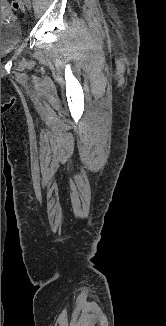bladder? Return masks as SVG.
Returning <instances> with one entry per match:
<instances>
[{"label": "bladder", "mask_w": 166, "mask_h": 326, "mask_svg": "<svg viewBox=\"0 0 166 326\" xmlns=\"http://www.w3.org/2000/svg\"><path fill=\"white\" fill-rule=\"evenodd\" d=\"M1 0V13L9 10V6ZM22 30L14 23H1V56L13 51L21 42Z\"/></svg>", "instance_id": "bladder-1"}]
</instances>
